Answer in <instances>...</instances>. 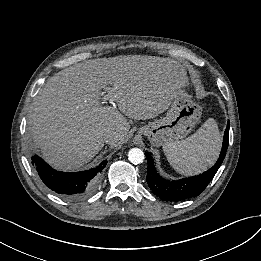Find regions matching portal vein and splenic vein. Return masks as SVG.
Listing matches in <instances>:
<instances>
[{
	"instance_id": "portal-vein-and-splenic-vein-1",
	"label": "portal vein and splenic vein",
	"mask_w": 261,
	"mask_h": 261,
	"mask_svg": "<svg viewBox=\"0 0 261 261\" xmlns=\"http://www.w3.org/2000/svg\"><path fill=\"white\" fill-rule=\"evenodd\" d=\"M116 90V87L113 89L108 88L107 89V93H103V97L101 98V100L104 101V103H106L107 101L110 102H114L115 101V94L113 93Z\"/></svg>"
}]
</instances>
